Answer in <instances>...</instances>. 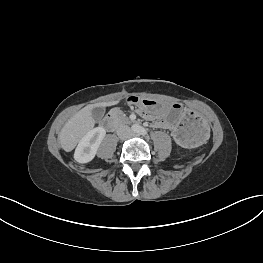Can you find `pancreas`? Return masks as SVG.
Returning <instances> with one entry per match:
<instances>
[{
	"instance_id": "1",
	"label": "pancreas",
	"mask_w": 263,
	"mask_h": 263,
	"mask_svg": "<svg viewBox=\"0 0 263 263\" xmlns=\"http://www.w3.org/2000/svg\"><path fill=\"white\" fill-rule=\"evenodd\" d=\"M111 115L115 119V122L118 124L128 121L127 117L121 115V113H119L118 111L113 110Z\"/></svg>"
}]
</instances>
